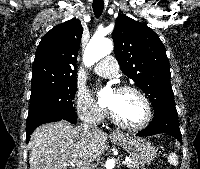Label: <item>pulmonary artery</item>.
<instances>
[{"label":"pulmonary artery","mask_w":200,"mask_h":169,"mask_svg":"<svg viewBox=\"0 0 200 169\" xmlns=\"http://www.w3.org/2000/svg\"><path fill=\"white\" fill-rule=\"evenodd\" d=\"M118 62L113 56L103 58L95 67V73L98 76L111 78L118 73Z\"/></svg>","instance_id":"1"}]
</instances>
